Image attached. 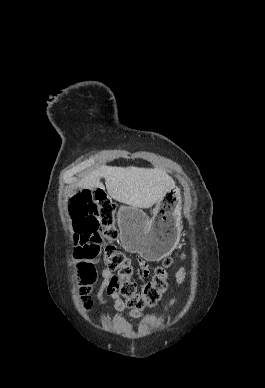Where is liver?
Returning a JSON list of instances; mask_svg holds the SVG:
<instances>
[{
    "mask_svg": "<svg viewBox=\"0 0 265 388\" xmlns=\"http://www.w3.org/2000/svg\"><path fill=\"white\" fill-rule=\"evenodd\" d=\"M100 178H105L106 190L113 200L134 206V208H151L158 200H163L175 182L160 168H112L100 166L95 172L84 176L76 186L80 188H102Z\"/></svg>",
    "mask_w": 265,
    "mask_h": 388,
    "instance_id": "obj_1",
    "label": "liver"
}]
</instances>
